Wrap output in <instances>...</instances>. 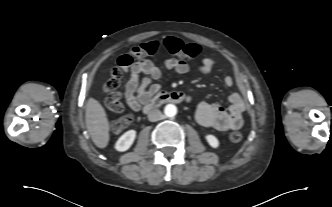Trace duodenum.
<instances>
[{"instance_id": "duodenum-1", "label": "duodenum", "mask_w": 332, "mask_h": 207, "mask_svg": "<svg viewBox=\"0 0 332 207\" xmlns=\"http://www.w3.org/2000/svg\"><path fill=\"white\" fill-rule=\"evenodd\" d=\"M188 101V97L181 92H160L143 108L145 113L166 103H184Z\"/></svg>"}]
</instances>
